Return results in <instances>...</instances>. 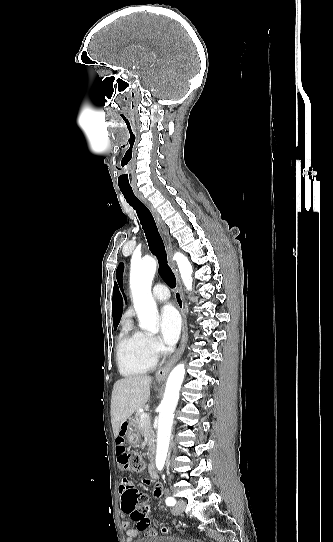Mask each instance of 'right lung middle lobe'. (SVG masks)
I'll return each instance as SVG.
<instances>
[{"label":"right lung middle lobe","mask_w":333,"mask_h":542,"mask_svg":"<svg viewBox=\"0 0 333 542\" xmlns=\"http://www.w3.org/2000/svg\"><path fill=\"white\" fill-rule=\"evenodd\" d=\"M116 328H117V325H116V326H114V329H115V330H116Z\"/></svg>","instance_id":"1"}]
</instances>
